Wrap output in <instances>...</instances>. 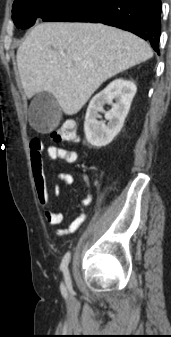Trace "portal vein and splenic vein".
Wrapping results in <instances>:
<instances>
[{"label": "portal vein and splenic vein", "mask_w": 171, "mask_h": 337, "mask_svg": "<svg viewBox=\"0 0 171 337\" xmlns=\"http://www.w3.org/2000/svg\"><path fill=\"white\" fill-rule=\"evenodd\" d=\"M67 66H68V67H70V66H71V63H70V62H68V63H67Z\"/></svg>", "instance_id": "18ae733b"}]
</instances>
